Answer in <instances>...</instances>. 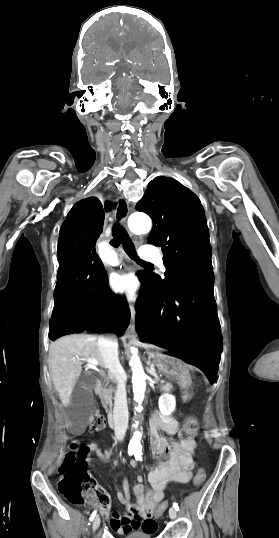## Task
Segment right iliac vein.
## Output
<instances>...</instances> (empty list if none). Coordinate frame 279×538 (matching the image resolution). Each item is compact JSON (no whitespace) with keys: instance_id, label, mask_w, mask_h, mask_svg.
I'll use <instances>...</instances> for the list:
<instances>
[{"instance_id":"right-iliac-vein-1","label":"right iliac vein","mask_w":279,"mask_h":538,"mask_svg":"<svg viewBox=\"0 0 279 538\" xmlns=\"http://www.w3.org/2000/svg\"><path fill=\"white\" fill-rule=\"evenodd\" d=\"M99 525H100V517L96 516V518L94 519L93 524H92L93 531H96L98 529Z\"/></svg>"}]
</instances>
